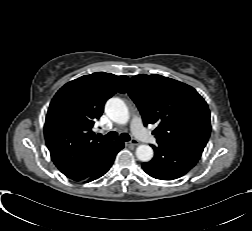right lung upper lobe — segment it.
Wrapping results in <instances>:
<instances>
[{
  "label": "right lung upper lobe",
  "instance_id": "cb5924a9",
  "mask_svg": "<svg viewBox=\"0 0 252 231\" xmlns=\"http://www.w3.org/2000/svg\"><path fill=\"white\" fill-rule=\"evenodd\" d=\"M127 76L105 72L82 76L65 84L52 99L44 126L46 145L56 167L74 181L89 177L117 141L99 139L92 127L105 102Z\"/></svg>",
  "mask_w": 252,
  "mask_h": 231
}]
</instances>
